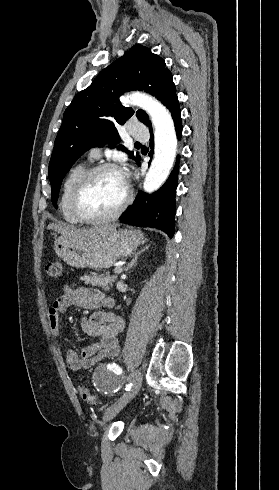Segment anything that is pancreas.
Masks as SVG:
<instances>
[{
  "label": "pancreas",
  "mask_w": 279,
  "mask_h": 490,
  "mask_svg": "<svg viewBox=\"0 0 279 490\" xmlns=\"http://www.w3.org/2000/svg\"><path fill=\"white\" fill-rule=\"evenodd\" d=\"M119 274H114V276H109V274H103V276H98L95 272L91 274H85L80 280L84 284H92V286H98V288H103V290H110L113 286V282L117 280Z\"/></svg>",
  "instance_id": "cf45deb5"
}]
</instances>
